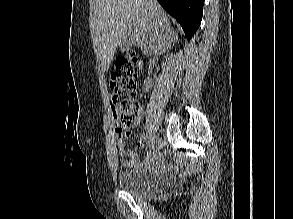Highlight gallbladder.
<instances>
[{
	"label": "gallbladder",
	"instance_id": "gallbladder-1",
	"mask_svg": "<svg viewBox=\"0 0 293 219\" xmlns=\"http://www.w3.org/2000/svg\"><path fill=\"white\" fill-rule=\"evenodd\" d=\"M134 35H128L121 39L119 47L122 52L129 51L134 46Z\"/></svg>",
	"mask_w": 293,
	"mask_h": 219
}]
</instances>
